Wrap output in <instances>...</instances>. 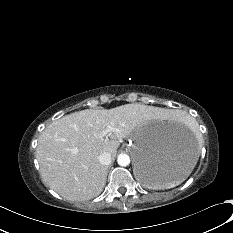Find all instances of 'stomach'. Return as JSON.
<instances>
[{"label": "stomach", "instance_id": "1", "mask_svg": "<svg viewBox=\"0 0 233 233\" xmlns=\"http://www.w3.org/2000/svg\"><path fill=\"white\" fill-rule=\"evenodd\" d=\"M130 149L135 177L150 188L182 182L199 156L197 141L189 131L161 127L154 121L133 132Z\"/></svg>", "mask_w": 233, "mask_h": 233}]
</instances>
